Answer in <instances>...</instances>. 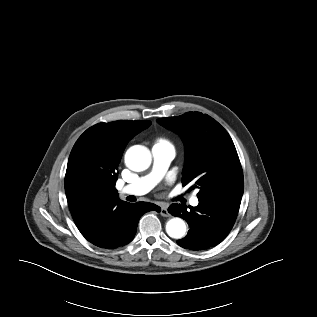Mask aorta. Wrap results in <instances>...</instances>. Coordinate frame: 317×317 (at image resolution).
I'll return each mask as SVG.
<instances>
[{
	"label": "aorta",
	"mask_w": 317,
	"mask_h": 317,
	"mask_svg": "<svg viewBox=\"0 0 317 317\" xmlns=\"http://www.w3.org/2000/svg\"><path fill=\"white\" fill-rule=\"evenodd\" d=\"M152 161L149 149L142 145L130 147L125 154V164L133 171L140 172L148 169ZM167 234L174 239L182 238L186 233V224L179 217H173L166 223Z\"/></svg>",
	"instance_id": "aorta-1"
}]
</instances>
